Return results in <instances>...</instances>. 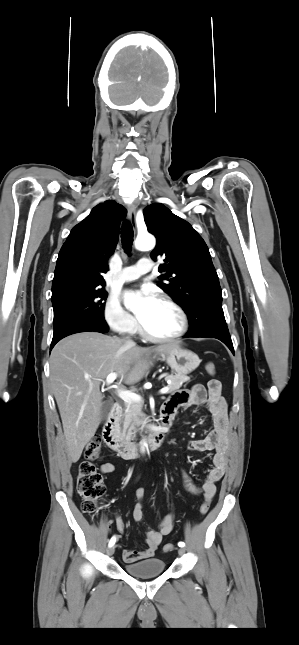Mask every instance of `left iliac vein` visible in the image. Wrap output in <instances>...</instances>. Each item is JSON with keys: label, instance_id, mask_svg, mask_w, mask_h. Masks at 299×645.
<instances>
[{"label": "left iliac vein", "instance_id": "4c4485c4", "mask_svg": "<svg viewBox=\"0 0 299 645\" xmlns=\"http://www.w3.org/2000/svg\"><path fill=\"white\" fill-rule=\"evenodd\" d=\"M178 553H179L180 555H183V554L185 553V549H184L183 547L179 548V549H178Z\"/></svg>", "mask_w": 299, "mask_h": 645}]
</instances>
